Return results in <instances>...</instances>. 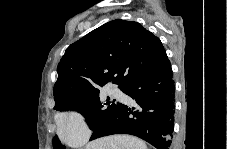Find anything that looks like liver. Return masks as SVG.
I'll return each instance as SVG.
<instances>
[{
    "label": "liver",
    "instance_id": "liver-1",
    "mask_svg": "<svg viewBox=\"0 0 227 149\" xmlns=\"http://www.w3.org/2000/svg\"><path fill=\"white\" fill-rule=\"evenodd\" d=\"M85 149H147V145L134 136L112 135L88 143Z\"/></svg>",
    "mask_w": 227,
    "mask_h": 149
}]
</instances>
